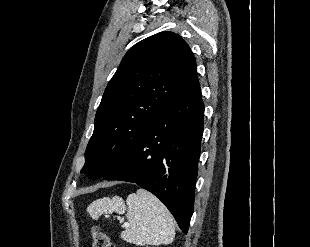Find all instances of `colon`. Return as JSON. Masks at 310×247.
I'll return each instance as SVG.
<instances>
[{
	"instance_id": "1",
	"label": "colon",
	"mask_w": 310,
	"mask_h": 247,
	"mask_svg": "<svg viewBox=\"0 0 310 247\" xmlns=\"http://www.w3.org/2000/svg\"><path fill=\"white\" fill-rule=\"evenodd\" d=\"M93 247H115L109 236L98 227L92 229Z\"/></svg>"
}]
</instances>
